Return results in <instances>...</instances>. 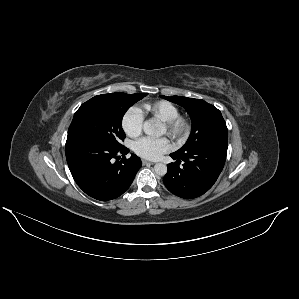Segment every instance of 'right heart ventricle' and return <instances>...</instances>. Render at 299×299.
<instances>
[{"instance_id": "1", "label": "right heart ventricle", "mask_w": 299, "mask_h": 299, "mask_svg": "<svg viewBox=\"0 0 299 299\" xmlns=\"http://www.w3.org/2000/svg\"><path fill=\"white\" fill-rule=\"evenodd\" d=\"M143 110L162 122H168L179 116V109L174 104L159 100L142 105Z\"/></svg>"}]
</instances>
